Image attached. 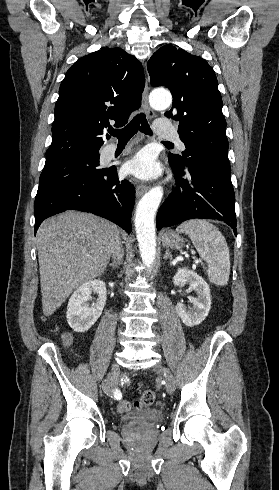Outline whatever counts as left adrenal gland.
<instances>
[{"label": "left adrenal gland", "instance_id": "1", "mask_svg": "<svg viewBox=\"0 0 279 490\" xmlns=\"http://www.w3.org/2000/svg\"><path fill=\"white\" fill-rule=\"evenodd\" d=\"M163 260H171V262H172L173 256H172L171 252H169V250H166V254H164V256H163Z\"/></svg>", "mask_w": 279, "mask_h": 490}]
</instances>
